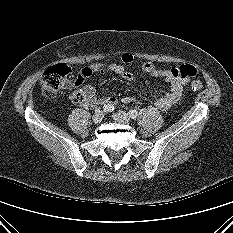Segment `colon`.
<instances>
[{
  "mask_svg": "<svg viewBox=\"0 0 233 233\" xmlns=\"http://www.w3.org/2000/svg\"><path fill=\"white\" fill-rule=\"evenodd\" d=\"M197 69L192 65H183L174 71V75L182 79H190L197 75ZM71 68L66 64H58L48 68L40 79L41 90L47 97H55L59 93L70 87ZM190 87L194 91L202 89L203 85L199 80H193ZM73 102L78 103L83 100L80 91L71 93Z\"/></svg>",
  "mask_w": 233,
  "mask_h": 233,
  "instance_id": "obj_1",
  "label": "colon"
}]
</instances>
